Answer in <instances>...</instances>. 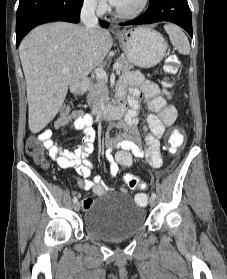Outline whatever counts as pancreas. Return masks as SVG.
<instances>
[{
    "label": "pancreas",
    "mask_w": 227,
    "mask_h": 279,
    "mask_svg": "<svg viewBox=\"0 0 227 279\" xmlns=\"http://www.w3.org/2000/svg\"><path fill=\"white\" fill-rule=\"evenodd\" d=\"M116 63L121 65L120 70L123 72L130 71L134 68V65L130 63L125 57L118 58ZM106 83L107 81L105 79L98 78L90 83L88 88L87 102L93 109L99 108L100 104L105 100L107 91Z\"/></svg>",
    "instance_id": "1"
}]
</instances>
